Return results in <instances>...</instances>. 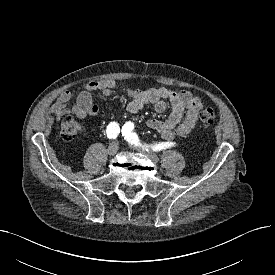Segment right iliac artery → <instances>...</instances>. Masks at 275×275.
I'll return each instance as SVG.
<instances>
[{
	"label": "right iliac artery",
	"instance_id": "82829eb1",
	"mask_svg": "<svg viewBox=\"0 0 275 275\" xmlns=\"http://www.w3.org/2000/svg\"><path fill=\"white\" fill-rule=\"evenodd\" d=\"M107 136L110 139H115L117 138L118 134L120 133V128L118 123L116 122H111L106 129Z\"/></svg>",
	"mask_w": 275,
	"mask_h": 275
}]
</instances>
